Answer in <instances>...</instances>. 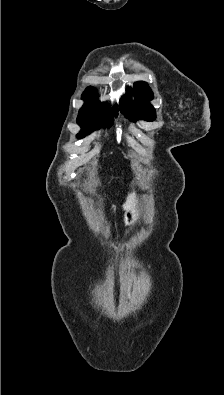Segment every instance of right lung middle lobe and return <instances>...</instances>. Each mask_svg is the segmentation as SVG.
<instances>
[{
  "label": "right lung middle lobe",
  "mask_w": 224,
  "mask_h": 395,
  "mask_svg": "<svg viewBox=\"0 0 224 395\" xmlns=\"http://www.w3.org/2000/svg\"><path fill=\"white\" fill-rule=\"evenodd\" d=\"M116 113L108 114L107 110L92 108L88 105H84L79 111L77 118L78 124L83 128L78 137H84L95 129L100 128L103 123L107 126L112 125L113 117Z\"/></svg>",
  "instance_id": "obj_1"
}]
</instances>
